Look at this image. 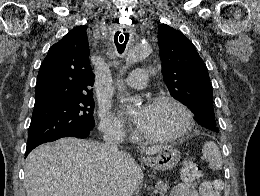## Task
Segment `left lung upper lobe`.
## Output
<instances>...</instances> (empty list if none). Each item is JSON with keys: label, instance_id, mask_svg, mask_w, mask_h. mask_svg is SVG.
Masks as SVG:
<instances>
[{"label": "left lung upper lobe", "instance_id": "obj_1", "mask_svg": "<svg viewBox=\"0 0 260 196\" xmlns=\"http://www.w3.org/2000/svg\"><path fill=\"white\" fill-rule=\"evenodd\" d=\"M158 41L162 73L171 96L192 112L201 107L213 108L207 67L192 42L181 31L166 24L159 26ZM206 128L219 132L216 122Z\"/></svg>", "mask_w": 260, "mask_h": 196}]
</instances>
